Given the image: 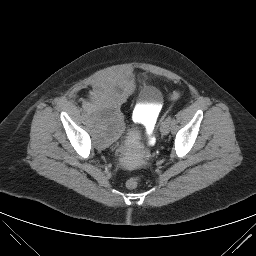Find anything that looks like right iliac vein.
Here are the masks:
<instances>
[{
	"instance_id": "1",
	"label": "right iliac vein",
	"mask_w": 256,
	"mask_h": 256,
	"mask_svg": "<svg viewBox=\"0 0 256 256\" xmlns=\"http://www.w3.org/2000/svg\"><path fill=\"white\" fill-rule=\"evenodd\" d=\"M85 115H86L87 117H89V118H92V117H93V114H92V112H91L90 110H87V111L85 112Z\"/></svg>"
}]
</instances>
